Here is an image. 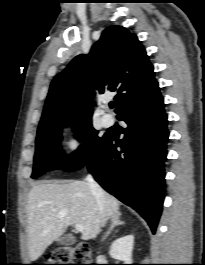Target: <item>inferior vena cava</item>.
I'll return each mask as SVG.
<instances>
[{"instance_id": "602c4592", "label": "inferior vena cava", "mask_w": 205, "mask_h": 265, "mask_svg": "<svg viewBox=\"0 0 205 265\" xmlns=\"http://www.w3.org/2000/svg\"><path fill=\"white\" fill-rule=\"evenodd\" d=\"M86 180L89 184V187H90L93 195L95 196L98 210H99L100 214H103L104 213V204H105L103 191H102L101 187L97 184V182H95V180L93 179V177L91 175H87Z\"/></svg>"}]
</instances>
